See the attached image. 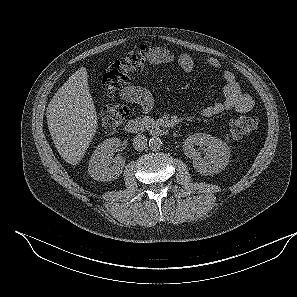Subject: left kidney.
Masks as SVG:
<instances>
[{
  "label": "left kidney",
  "mask_w": 297,
  "mask_h": 297,
  "mask_svg": "<svg viewBox=\"0 0 297 297\" xmlns=\"http://www.w3.org/2000/svg\"><path fill=\"white\" fill-rule=\"evenodd\" d=\"M195 146H205L203 158ZM184 153L193 160V167L202 175H212L222 171L229 162L230 148L222 140L205 133L189 136L183 143Z\"/></svg>",
  "instance_id": "1"
}]
</instances>
